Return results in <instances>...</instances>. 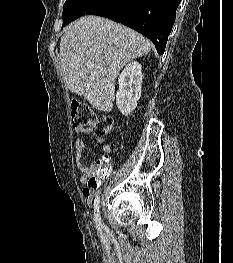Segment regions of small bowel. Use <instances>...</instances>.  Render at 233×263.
<instances>
[{
    "label": "small bowel",
    "mask_w": 233,
    "mask_h": 263,
    "mask_svg": "<svg viewBox=\"0 0 233 263\" xmlns=\"http://www.w3.org/2000/svg\"><path fill=\"white\" fill-rule=\"evenodd\" d=\"M77 132L86 137H92V135L94 134V131L91 128H77ZM96 141L98 144L102 145V150L105 153L111 152L112 147L111 145L105 143L106 137L104 135H97ZM75 150H76V154H75L76 166L82 173L81 183L86 185L83 189V195L86 201L89 202L92 200L96 189H89L87 184L89 178L95 173L96 162H92L88 165H84L82 161V157L86 150V144L83 139L81 138L76 139ZM99 182H101V180Z\"/></svg>",
    "instance_id": "obj_1"
}]
</instances>
